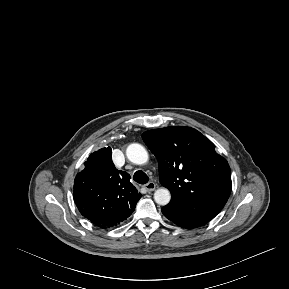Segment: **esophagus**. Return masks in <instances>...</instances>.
Masks as SVG:
<instances>
[{
    "instance_id": "34e87169",
    "label": "esophagus",
    "mask_w": 289,
    "mask_h": 289,
    "mask_svg": "<svg viewBox=\"0 0 289 289\" xmlns=\"http://www.w3.org/2000/svg\"><path fill=\"white\" fill-rule=\"evenodd\" d=\"M145 188L148 192H151V191H154L155 188H156V184L154 182H148L146 185H145Z\"/></svg>"
}]
</instances>
